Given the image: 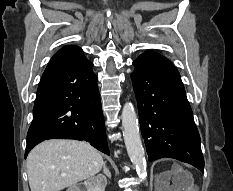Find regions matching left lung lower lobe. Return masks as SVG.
Wrapping results in <instances>:
<instances>
[{"mask_svg":"<svg viewBox=\"0 0 233 191\" xmlns=\"http://www.w3.org/2000/svg\"><path fill=\"white\" fill-rule=\"evenodd\" d=\"M131 74L149 161L169 157L204 172L200 136L180 74L161 54H142Z\"/></svg>","mask_w":233,"mask_h":191,"instance_id":"obj_1","label":"left lung lower lobe"}]
</instances>
